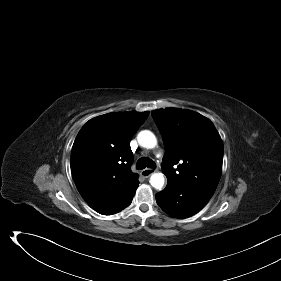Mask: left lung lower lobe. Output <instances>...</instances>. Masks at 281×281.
Here are the masks:
<instances>
[{
	"instance_id": "obj_1",
	"label": "left lung lower lobe",
	"mask_w": 281,
	"mask_h": 281,
	"mask_svg": "<svg viewBox=\"0 0 281 281\" xmlns=\"http://www.w3.org/2000/svg\"><path fill=\"white\" fill-rule=\"evenodd\" d=\"M212 195L192 186L168 183L166 188L156 195L161 209L172 217L187 218L201 210Z\"/></svg>"
}]
</instances>
